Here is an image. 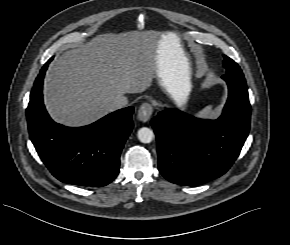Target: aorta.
Masks as SVG:
<instances>
[{
  "mask_svg": "<svg viewBox=\"0 0 290 245\" xmlns=\"http://www.w3.org/2000/svg\"><path fill=\"white\" fill-rule=\"evenodd\" d=\"M138 139L142 143H150L154 139V132L147 127H142L138 130Z\"/></svg>",
  "mask_w": 290,
  "mask_h": 245,
  "instance_id": "762f6f07",
  "label": "aorta"
}]
</instances>
